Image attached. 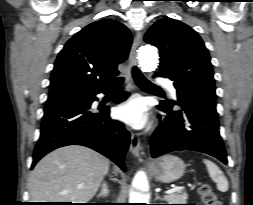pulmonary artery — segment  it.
Returning <instances> with one entry per match:
<instances>
[{
	"label": "pulmonary artery",
	"mask_w": 253,
	"mask_h": 205,
	"mask_svg": "<svg viewBox=\"0 0 253 205\" xmlns=\"http://www.w3.org/2000/svg\"><path fill=\"white\" fill-rule=\"evenodd\" d=\"M159 84L164 86L169 91L170 95L173 98H176L177 91H176V88L174 87L173 83L170 80H160Z\"/></svg>",
	"instance_id": "1"
}]
</instances>
